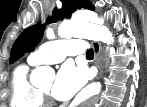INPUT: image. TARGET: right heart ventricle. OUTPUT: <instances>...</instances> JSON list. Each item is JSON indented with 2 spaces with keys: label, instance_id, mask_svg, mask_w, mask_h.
<instances>
[{
  "label": "right heart ventricle",
  "instance_id": "obj_1",
  "mask_svg": "<svg viewBox=\"0 0 147 107\" xmlns=\"http://www.w3.org/2000/svg\"><path fill=\"white\" fill-rule=\"evenodd\" d=\"M30 65H35L29 60ZM11 105L12 107H42L43 101L37 88L29 79V66H18L12 75L11 80Z\"/></svg>",
  "mask_w": 147,
  "mask_h": 107
}]
</instances>
